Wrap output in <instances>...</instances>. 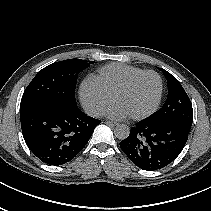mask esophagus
<instances>
[{
  "label": "esophagus",
  "instance_id": "1",
  "mask_svg": "<svg viewBox=\"0 0 211 211\" xmlns=\"http://www.w3.org/2000/svg\"><path fill=\"white\" fill-rule=\"evenodd\" d=\"M105 124H107L109 126H116L118 123L113 122V121H105Z\"/></svg>",
  "mask_w": 211,
  "mask_h": 211
}]
</instances>
